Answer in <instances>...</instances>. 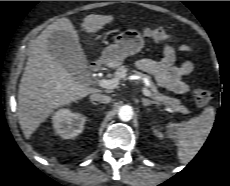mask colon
<instances>
[{"mask_svg":"<svg viewBox=\"0 0 230 186\" xmlns=\"http://www.w3.org/2000/svg\"><path fill=\"white\" fill-rule=\"evenodd\" d=\"M144 34L148 39L156 42H169L172 39V34L163 27L147 28ZM194 98L198 105H207L211 100V92L199 87L194 91Z\"/></svg>","mask_w":230,"mask_h":186,"instance_id":"5ec220e1","label":"colon"}]
</instances>
